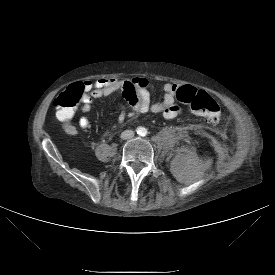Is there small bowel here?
Here are the masks:
<instances>
[{"instance_id": "1", "label": "small bowel", "mask_w": 275, "mask_h": 275, "mask_svg": "<svg viewBox=\"0 0 275 275\" xmlns=\"http://www.w3.org/2000/svg\"><path fill=\"white\" fill-rule=\"evenodd\" d=\"M78 86L83 91L82 110L84 112H88L91 109L94 100L122 90V97L125 102L131 104L132 111L127 112L125 105L119 102L117 125L123 124L127 116L131 115L153 112L161 113L165 118L170 119L181 113V109L176 103V93L180 88V85L177 83L167 82L163 84L161 87L163 97L156 102L151 101L150 91L152 86L148 80L143 77H136L134 79L99 78L79 82ZM58 119L64 121L60 126V131L64 136L73 138L78 134L79 127L74 121L64 120L60 117H58ZM89 124L90 121L85 116L79 121V125L83 129L87 128Z\"/></svg>"}]
</instances>
